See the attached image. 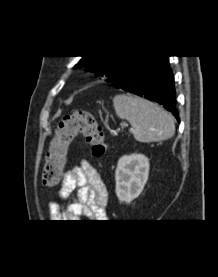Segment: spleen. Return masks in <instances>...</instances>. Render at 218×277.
Listing matches in <instances>:
<instances>
[{"instance_id": "obj_1", "label": "spleen", "mask_w": 218, "mask_h": 277, "mask_svg": "<svg viewBox=\"0 0 218 277\" xmlns=\"http://www.w3.org/2000/svg\"><path fill=\"white\" fill-rule=\"evenodd\" d=\"M113 106L116 115L131 124L133 136L139 142L162 141L174 135L173 117L146 99L132 95H116Z\"/></svg>"}]
</instances>
